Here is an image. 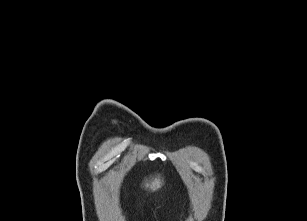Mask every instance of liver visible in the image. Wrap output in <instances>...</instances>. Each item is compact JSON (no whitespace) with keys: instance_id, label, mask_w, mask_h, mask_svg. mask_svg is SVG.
Returning <instances> with one entry per match:
<instances>
[{"instance_id":"1","label":"liver","mask_w":307,"mask_h":221,"mask_svg":"<svg viewBox=\"0 0 307 221\" xmlns=\"http://www.w3.org/2000/svg\"><path fill=\"white\" fill-rule=\"evenodd\" d=\"M162 184H163V181H161V179L158 177L149 182H146L145 188L150 189L152 192H154V191H157L159 188H161Z\"/></svg>"}]
</instances>
